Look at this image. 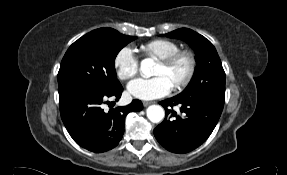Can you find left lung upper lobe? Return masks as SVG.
Segmentation results:
<instances>
[{
	"mask_svg": "<svg viewBox=\"0 0 287 175\" xmlns=\"http://www.w3.org/2000/svg\"><path fill=\"white\" fill-rule=\"evenodd\" d=\"M166 36L184 40L196 54L197 65L194 75L179 96H201L224 104L225 72L213 44L204 36L187 28L167 33Z\"/></svg>",
	"mask_w": 287,
	"mask_h": 175,
	"instance_id": "left-lung-upper-lobe-1",
	"label": "left lung upper lobe"
}]
</instances>
